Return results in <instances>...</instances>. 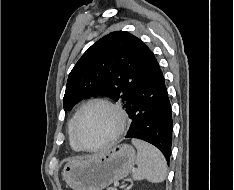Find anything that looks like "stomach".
<instances>
[{
    "instance_id": "0dacf381",
    "label": "stomach",
    "mask_w": 234,
    "mask_h": 190,
    "mask_svg": "<svg viewBox=\"0 0 234 190\" xmlns=\"http://www.w3.org/2000/svg\"><path fill=\"white\" fill-rule=\"evenodd\" d=\"M136 159L131 145H116L93 156L72 159L63 168V179L73 190H103L127 177Z\"/></svg>"
}]
</instances>
